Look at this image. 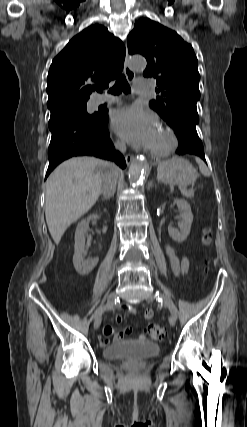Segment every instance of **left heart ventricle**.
I'll return each mask as SVG.
<instances>
[{
    "label": "left heart ventricle",
    "mask_w": 247,
    "mask_h": 427,
    "mask_svg": "<svg viewBox=\"0 0 247 427\" xmlns=\"http://www.w3.org/2000/svg\"><path fill=\"white\" fill-rule=\"evenodd\" d=\"M163 142H164V136H163V134L161 133V131L159 130V131H157V134H156V136H155L154 142H153V144H152V146H151V147L159 146V145H161Z\"/></svg>",
    "instance_id": "b2bd125f"
}]
</instances>
